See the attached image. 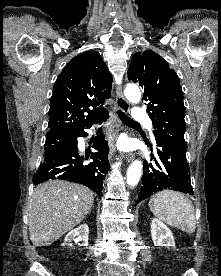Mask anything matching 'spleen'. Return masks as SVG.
Listing matches in <instances>:
<instances>
[{
	"instance_id": "spleen-1",
	"label": "spleen",
	"mask_w": 221,
	"mask_h": 276,
	"mask_svg": "<svg viewBox=\"0 0 221 276\" xmlns=\"http://www.w3.org/2000/svg\"><path fill=\"white\" fill-rule=\"evenodd\" d=\"M152 213L171 227L192 234L196 229L195 210L192 202L182 193L164 190L149 200Z\"/></svg>"
}]
</instances>
